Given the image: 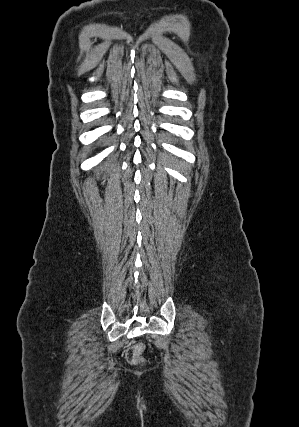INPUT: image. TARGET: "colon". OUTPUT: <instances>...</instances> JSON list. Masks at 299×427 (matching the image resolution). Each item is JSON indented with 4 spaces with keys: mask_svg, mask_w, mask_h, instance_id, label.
Masks as SVG:
<instances>
[{
    "mask_svg": "<svg viewBox=\"0 0 299 427\" xmlns=\"http://www.w3.org/2000/svg\"><path fill=\"white\" fill-rule=\"evenodd\" d=\"M143 344H136L129 347L126 351V359L132 365H140L144 362L143 359Z\"/></svg>",
    "mask_w": 299,
    "mask_h": 427,
    "instance_id": "1",
    "label": "colon"
}]
</instances>
